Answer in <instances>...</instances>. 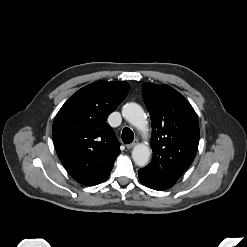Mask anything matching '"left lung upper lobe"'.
I'll list each match as a JSON object with an SVG mask.
<instances>
[{"label": "left lung upper lobe", "mask_w": 247, "mask_h": 247, "mask_svg": "<svg viewBox=\"0 0 247 247\" xmlns=\"http://www.w3.org/2000/svg\"><path fill=\"white\" fill-rule=\"evenodd\" d=\"M142 96L152 120L153 158L142 168L172 187L193 162L199 143L197 115L168 85L145 83Z\"/></svg>", "instance_id": "1"}]
</instances>
